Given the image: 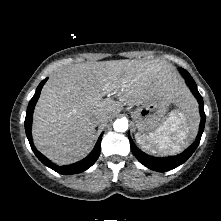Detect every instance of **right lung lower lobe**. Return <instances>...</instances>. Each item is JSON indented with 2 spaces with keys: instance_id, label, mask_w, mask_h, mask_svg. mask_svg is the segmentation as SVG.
<instances>
[{
  "instance_id": "right-lung-lower-lobe-1",
  "label": "right lung lower lobe",
  "mask_w": 221,
  "mask_h": 221,
  "mask_svg": "<svg viewBox=\"0 0 221 221\" xmlns=\"http://www.w3.org/2000/svg\"><path fill=\"white\" fill-rule=\"evenodd\" d=\"M47 79L41 81V83L38 85L35 95L33 96V98L30 100L28 108H27V113H26V118H25V131H26V135L27 138L29 140L31 149L33 150L34 154L37 156V158L46 166L50 167L51 169H53L54 171L63 174V175H67V174H76V173H80L83 172L85 170H87L89 167H91L95 161L98 159L99 155H100V143H101V138L102 135L99 137L93 151L90 153V155H88L85 159L72 164V165H68V166H57L55 164H53L50 160H48L44 155H42L35 147L32 141V136H31V124H32V118H33V111H34V107L35 104L40 96L41 93V89L44 85V83L46 82Z\"/></svg>"
}]
</instances>
